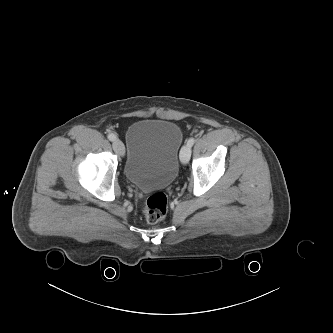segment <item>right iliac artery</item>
<instances>
[{
	"label": "right iliac artery",
	"mask_w": 333,
	"mask_h": 333,
	"mask_svg": "<svg viewBox=\"0 0 333 333\" xmlns=\"http://www.w3.org/2000/svg\"><path fill=\"white\" fill-rule=\"evenodd\" d=\"M107 137L110 141H114L116 139V135H114L112 133L108 134Z\"/></svg>",
	"instance_id": "obj_1"
}]
</instances>
